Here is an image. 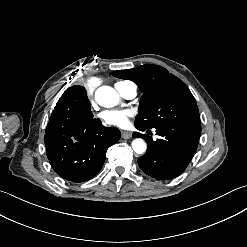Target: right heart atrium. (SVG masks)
Returning a JSON list of instances; mask_svg holds the SVG:
<instances>
[{
	"instance_id": "obj_1",
	"label": "right heart atrium",
	"mask_w": 247,
	"mask_h": 247,
	"mask_svg": "<svg viewBox=\"0 0 247 247\" xmlns=\"http://www.w3.org/2000/svg\"><path fill=\"white\" fill-rule=\"evenodd\" d=\"M103 85V80L99 76H94L91 78L90 82H87L83 86V91L87 95H92L95 93L96 89L101 88Z\"/></svg>"
}]
</instances>
